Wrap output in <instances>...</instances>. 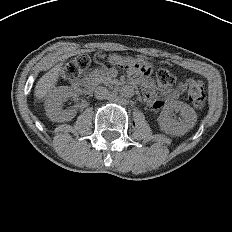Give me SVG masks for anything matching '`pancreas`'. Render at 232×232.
<instances>
[{
    "label": "pancreas",
    "instance_id": "pancreas-1",
    "mask_svg": "<svg viewBox=\"0 0 232 232\" xmlns=\"http://www.w3.org/2000/svg\"><path fill=\"white\" fill-rule=\"evenodd\" d=\"M103 78H104V80H110V77H106V73H103Z\"/></svg>",
    "mask_w": 232,
    "mask_h": 232
}]
</instances>
